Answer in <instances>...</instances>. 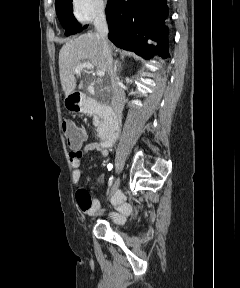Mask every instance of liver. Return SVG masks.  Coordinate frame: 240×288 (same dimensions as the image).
<instances>
[{
	"label": "liver",
	"mask_w": 240,
	"mask_h": 288,
	"mask_svg": "<svg viewBox=\"0 0 240 288\" xmlns=\"http://www.w3.org/2000/svg\"><path fill=\"white\" fill-rule=\"evenodd\" d=\"M82 62H90L97 71L108 74L102 42L97 33L91 32L80 35L64 44L59 52L60 81L66 98L76 89L75 69ZM82 87L83 81L80 82L79 89Z\"/></svg>",
	"instance_id": "obj_1"
}]
</instances>
